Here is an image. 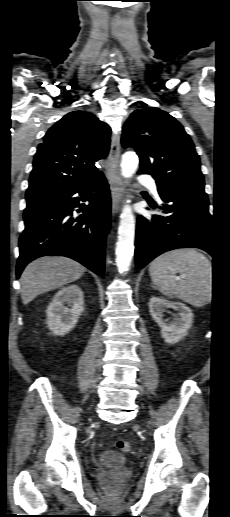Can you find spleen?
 Segmentation results:
<instances>
[{"label":"spleen","instance_id":"spleen-1","mask_svg":"<svg viewBox=\"0 0 230 517\" xmlns=\"http://www.w3.org/2000/svg\"><path fill=\"white\" fill-rule=\"evenodd\" d=\"M149 274L154 286L169 298L181 299L195 307L212 300L211 262L194 249H177L160 255L151 262Z\"/></svg>","mask_w":230,"mask_h":517}]
</instances>
